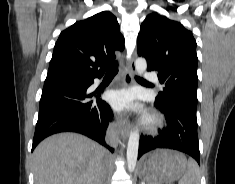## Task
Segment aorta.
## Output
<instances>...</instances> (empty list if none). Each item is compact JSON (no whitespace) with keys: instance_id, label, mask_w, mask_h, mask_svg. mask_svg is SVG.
I'll list each match as a JSON object with an SVG mask.
<instances>
[{"instance_id":"obj_1","label":"aorta","mask_w":235,"mask_h":184,"mask_svg":"<svg viewBox=\"0 0 235 184\" xmlns=\"http://www.w3.org/2000/svg\"><path fill=\"white\" fill-rule=\"evenodd\" d=\"M147 64L144 58L135 60V70L138 76H142L146 72ZM139 148V132H130L127 144V166L129 172H134L138 158Z\"/></svg>"}]
</instances>
